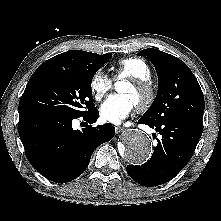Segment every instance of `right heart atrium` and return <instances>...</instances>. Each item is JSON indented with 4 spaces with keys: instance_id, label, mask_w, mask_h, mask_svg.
I'll return each instance as SVG.
<instances>
[{
    "instance_id": "d8ad5b80",
    "label": "right heart atrium",
    "mask_w": 221,
    "mask_h": 221,
    "mask_svg": "<svg viewBox=\"0 0 221 221\" xmlns=\"http://www.w3.org/2000/svg\"><path fill=\"white\" fill-rule=\"evenodd\" d=\"M112 87L111 78L102 70L96 71L90 80V91L96 100L102 99Z\"/></svg>"
}]
</instances>
